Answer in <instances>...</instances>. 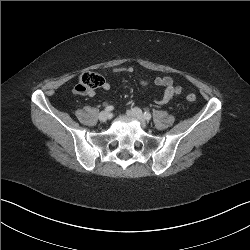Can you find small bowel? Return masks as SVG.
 Listing matches in <instances>:
<instances>
[{
	"mask_svg": "<svg viewBox=\"0 0 250 250\" xmlns=\"http://www.w3.org/2000/svg\"><path fill=\"white\" fill-rule=\"evenodd\" d=\"M115 74H127L132 75L135 73L134 68L132 67H115L112 70ZM137 81L141 86H148L150 83H153L157 86H161L163 88L162 94L156 99L157 104H166L173 100L175 97L179 96L183 92V88L180 85H175L172 77H154L149 80L141 75H137ZM102 88L105 90H109L111 88V83L108 80H104L102 84ZM87 96L93 97L95 95L94 91H89L86 93Z\"/></svg>",
	"mask_w": 250,
	"mask_h": 250,
	"instance_id": "obj_1",
	"label": "small bowel"
}]
</instances>
